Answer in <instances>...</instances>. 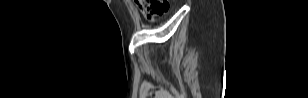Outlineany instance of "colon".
<instances>
[{
  "instance_id": "obj_1",
  "label": "colon",
  "mask_w": 308,
  "mask_h": 98,
  "mask_svg": "<svg viewBox=\"0 0 308 98\" xmlns=\"http://www.w3.org/2000/svg\"><path fill=\"white\" fill-rule=\"evenodd\" d=\"M136 4L150 20L163 16L169 8L167 0H136Z\"/></svg>"
}]
</instances>
